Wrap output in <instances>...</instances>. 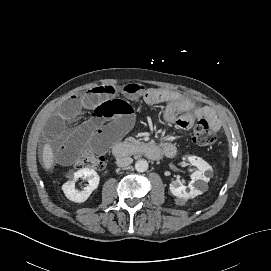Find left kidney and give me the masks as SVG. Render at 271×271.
<instances>
[{
  "instance_id": "1",
  "label": "left kidney",
  "mask_w": 271,
  "mask_h": 271,
  "mask_svg": "<svg viewBox=\"0 0 271 271\" xmlns=\"http://www.w3.org/2000/svg\"><path fill=\"white\" fill-rule=\"evenodd\" d=\"M188 161L198 170L191 174V182L188 187L183 185L180 180L173 181L170 184V191L178 198L189 199L196 196L200 192L198 189V186L201 185L199 181L206 184L210 180L212 168L206 161L197 156L188 157ZM187 188H189V191H187Z\"/></svg>"
}]
</instances>
